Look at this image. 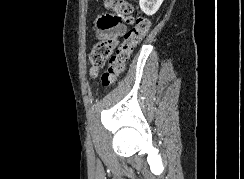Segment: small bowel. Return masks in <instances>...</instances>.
<instances>
[{
	"label": "small bowel",
	"mask_w": 244,
	"mask_h": 179,
	"mask_svg": "<svg viewBox=\"0 0 244 179\" xmlns=\"http://www.w3.org/2000/svg\"><path fill=\"white\" fill-rule=\"evenodd\" d=\"M111 31L115 34L121 33V29L117 27L115 16L111 14H105L100 16L97 20V37L103 38L107 36L108 32Z\"/></svg>",
	"instance_id": "obj_1"
}]
</instances>
